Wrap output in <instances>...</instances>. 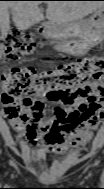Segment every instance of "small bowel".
Returning <instances> with one entry per match:
<instances>
[{
  "instance_id": "small-bowel-1",
  "label": "small bowel",
  "mask_w": 104,
  "mask_h": 189,
  "mask_svg": "<svg viewBox=\"0 0 104 189\" xmlns=\"http://www.w3.org/2000/svg\"><path fill=\"white\" fill-rule=\"evenodd\" d=\"M50 100L58 106L47 117H43L45 100L41 97L27 103H5L4 116L30 144L42 142L46 151L56 157L68 147H81L91 137L103 116V104L92 84Z\"/></svg>"
}]
</instances>
